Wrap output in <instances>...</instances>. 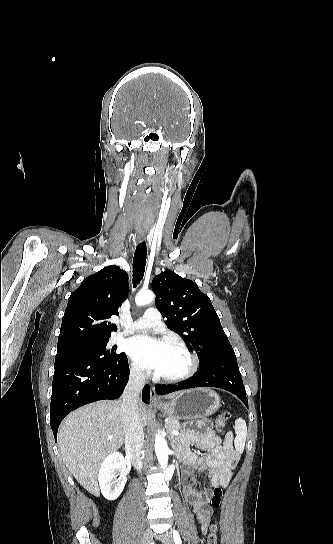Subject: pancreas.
Returning <instances> with one entry per match:
<instances>
[{
	"label": "pancreas",
	"mask_w": 333,
	"mask_h": 544,
	"mask_svg": "<svg viewBox=\"0 0 333 544\" xmlns=\"http://www.w3.org/2000/svg\"><path fill=\"white\" fill-rule=\"evenodd\" d=\"M165 427L170 432V435L173 438H176V436L172 434L174 430L180 431V434L186 431L185 428H182L179 421L174 417H167Z\"/></svg>",
	"instance_id": "obj_1"
}]
</instances>
